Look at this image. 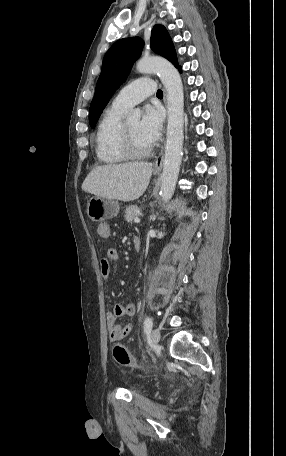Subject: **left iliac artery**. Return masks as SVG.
Wrapping results in <instances>:
<instances>
[{
  "instance_id": "obj_1",
  "label": "left iliac artery",
  "mask_w": 286,
  "mask_h": 456,
  "mask_svg": "<svg viewBox=\"0 0 286 456\" xmlns=\"http://www.w3.org/2000/svg\"><path fill=\"white\" fill-rule=\"evenodd\" d=\"M152 326H153V322H152V319L150 317H145V320H144V331L145 333H150L151 329H152Z\"/></svg>"
}]
</instances>
